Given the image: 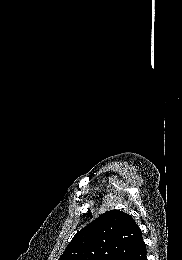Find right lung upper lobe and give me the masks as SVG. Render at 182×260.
<instances>
[{
	"mask_svg": "<svg viewBox=\"0 0 182 260\" xmlns=\"http://www.w3.org/2000/svg\"><path fill=\"white\" fill-rule=\"evenodd\" d=\"M144 246L132 216L110 210L82 228L59 260H129Z\"/></svg>",
	"mask_w": 182,
	"mask_h": 260,
	"instance_id": "right-lung-upper-lobe-1",
	"label": "right lung upper lobe"
}]
</instances>
